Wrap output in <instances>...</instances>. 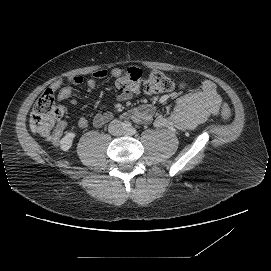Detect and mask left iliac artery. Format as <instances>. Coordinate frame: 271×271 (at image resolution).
<instances>
[{
	"instance_id": "left-iliac-artery-1",
	"label": "left iliac artery",
	"mask_w": 271,
	"mask_h": 271,
	"mask_svg": "<svg viewBox=\"0 0 271 271\" xmlns=\"http://www.w3.org/2000/svg\"><path fill=\"white\" fill-rule=\"evenodd\" d=\"M136 129L135 128H133V127H131L130 129H129V134L130 135H134V134H136Z\"/></svg>"
}]
</instances>
